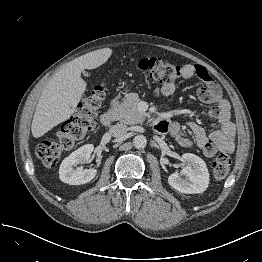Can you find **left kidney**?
<instances>
[{
  "instance_id": "5707ae66",
  "label": "left kidney",
  "mask_w": 262,
  "mask_h": 262,
  "mask_svg": "<svg viewBox=\"0 0 262 262\" xmlns=\"http://www.w3.org/2000/svg\"><path fill=\"white\" fill-rule=\"evenodd\" d=\"M181 161L185 167L181 170V175L173 173L168 178V183L172 188L181 193L197 194L204 192L209 184V172L206 163L198 156L185 153L181 156Z\"/></svg>"
}]
</instances>
